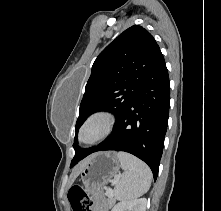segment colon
<instances>
[{"mask_svg": "<svg viewBox=\"0 0 221 211\" xmlns=\"http://www.w3.org/2000/svg\"><path fill=\"white\" fill-rule=\"evenodd\" d=\"M68 200L73 211H91L92 200L79 185L70 188Z\"/></svg>", "mask_w": 221, "mask_h": 211, "instance_id": "colon-1", "label": "colon"}]
</instances>
